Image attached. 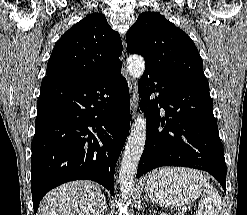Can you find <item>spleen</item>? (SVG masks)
<instances>
[{"mask_svg": "<svg viewBox=\"0 0 247 215\" xmlns=\"http://www.w3.org/2000/svg\"><path fill=\"white\" fill-rule=\"evenodd\" d=\"M203 186L206 188V194L199 202L198 215H220L221 197L219 193L208 181H204Z\"/></svg>", "mask_w": 247, "mask_h": 215, "instance_id": "1", "label": "spleen"}]
</instances>
